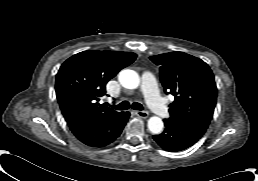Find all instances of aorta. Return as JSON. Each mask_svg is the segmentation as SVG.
Here are the masks:
<instances>
[{"label": "aorta", "instance_id": "obj_1", "mask_svg": "<svg viewBox=\"0 0 258 181\" xmlns=\"http://www.w3.org/2000/svg\"><path fill=\"white\" fill-rule=\"evenodd\" d=\"M120 84L127 89H136L140 84V77L137 72L130 69L122 70L118 75ZM163 121L157 116L150 117L148 120V129L153 134H159L163 130Z\"/></svg>", "mask_w": 258, "mask_h": 181}]
</instances>
